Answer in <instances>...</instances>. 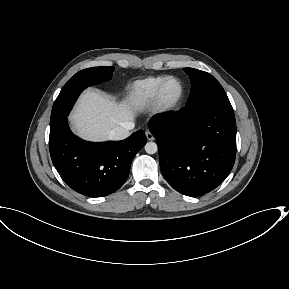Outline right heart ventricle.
Returning a JSON list of instances; mask_svg holds the SVG:
<instances>
[{"label": "right heart ventricle", "mask_w": 289, "mask_h": 289, "mask_svg": "<svg viewBox=\"0 0 289 289\" xmlns=\"http://www.w3.org/2000/svg\"><path fill=\"white\" fill-rule=\"evenodd\" d=\"M166 76H149L135 81L128 91V101L132 106L142 107L150 104L159 84Z\"/></svg>", "instance_id": "right-heart-ventricle-1"}]
</instances>
